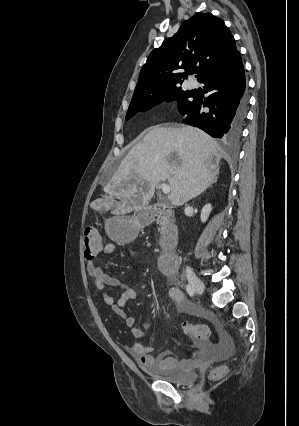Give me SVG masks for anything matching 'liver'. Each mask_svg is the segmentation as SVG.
I'll return each mask as SVG.
<instances>
[{
	"mask_svg": "<svg viewBox=\"0 0 299 426\" xmlns=\"http://www.w3.org/2000/svg\"><path fill=\"white\" fill-rule=\"evenodd\" d=\"M224 151L202 130L154 126L125 156L104 186L114 200H99L113 214H127L146 206L155 187L167 180L170 200L182 206L204 192L219 173Z\"/></svg>",
	"mask_w": 299,
	"mask_h": 426,
	"instance_id": "1",
	"label": "liver"
}]
</instances>
